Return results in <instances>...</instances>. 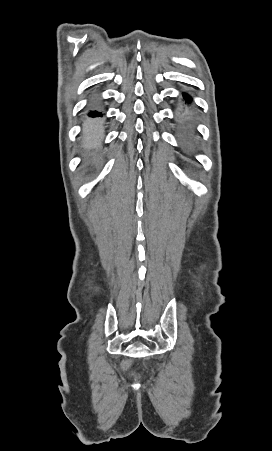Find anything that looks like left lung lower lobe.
<instances>
[{
    "instance_id": "1",
    "label": "left lung lower lobe",
    "mask_w": 272,
    "mask_h": 451,
    "mask_svg": "<svg viewBox=\"0 0 272 451\" xmlns=\"http://www.w3.org/2000/svg\"><path fill=\"white\" fill-rule=\"evenodd\" d=\"M181 102L183 104V110L181 112L182 117L179 123L180 133L184 138H187L192 131L191 116H190L192 98L188 93H183V98L181 99Z\"/></svg>"
}]
</instances>
